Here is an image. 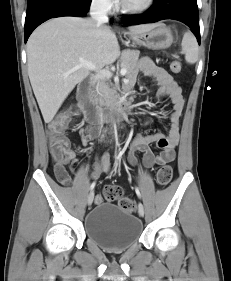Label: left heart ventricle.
<instances>
[{
  "label": "left heart ventricle",
  "instance_id": "obj_1",
  "mask_svg": "<svg viewBox=\"0 0 231 281\" xmlns=\"http://www.w3.org/2000/svg\"><path fill=\"white\" fill-rule=\"evenodd\" d=\"M145 0H124V2L127 4V5H130V6H136V5H140L144 2Z\"/></svg>",
  "mask_w": 231,
  "mask_h": 281
}]
</instances>
